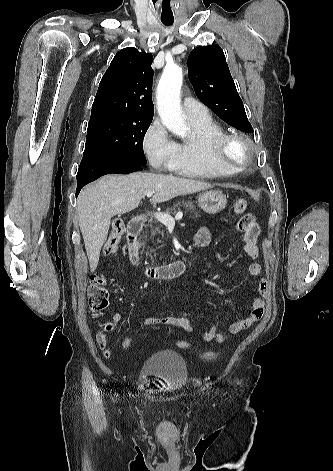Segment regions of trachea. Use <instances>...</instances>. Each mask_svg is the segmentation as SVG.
<instances>
[{"label": "trachea", "mask_w": 333, "mask_h": 471, "mask_svg": "<svg viewBox=\"0 0 333 471\" xmlns=\"http://www.w3.org/2000/svg\"><path fill=\"white\" fill-rule=\"evenodd\" d=\"M162 23L165 25V26H169L173 23V20H162Z\"/></svg>", "instance_id": "1"}]
</instances>
